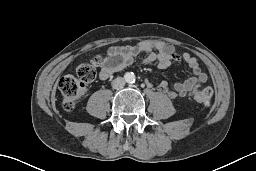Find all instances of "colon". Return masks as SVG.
<instances>
[{"label": "colon", "instance_id": "5ec220e1", "mask_svg": "<svg viewBox=\"0 0 256 171\" xmlns=\"http://www.w3.org/2000/svg\"><path fill=\"white\" fill-rule=\"evenodd\" d=\"M96 77V69L90 64H81L76 69V75H65L58 88L62 96L64 107L70 110L86 92V86ZM193 99L204 105L210 106L213 98V90L206 85H200L192 90Z\"/></svg>", "mask_w": 256, "mask_h": 171}]
</instances>
